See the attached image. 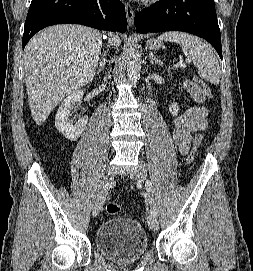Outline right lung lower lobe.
Masks as SVG:
<instances>
[{
  "mask_svg": "<svg viewBox=\"0 0 253 271\" xmlns=\"http://www.w3.org/2000/svg\"><path fill=\"white\" fill-rule=\"evenodd\" d=\"M65 23L100 30H127L125 7L119 0H32L25 21L23 48L39 30Z\"/></svg>",
  "mask_w": 253,
  "mask_h": 271,
  "instance_id": "1",
  "label": "right lung lower lobe"
}]
</instances>
